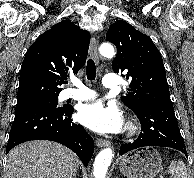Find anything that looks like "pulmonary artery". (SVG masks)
<instances>
[{
	"mask_svg": "<svg viewBox=\"0 0 194 178\" xmlns=\"http://www.w3.org/2000/svg\"><path fill=\"white\" fill-rule=\"evenodd\" d=\"M102 84L105 88H117L119 86V82L115 74L105 75L102 79ZM75 85L77 86V89L67 90L65 92V98L78 100V101H87V100H92L96 97L97 95L96 92L87 88L82 83L76 82Z\"/></svg>",
	"mask_w": 194,
	"mask_h": 178,
	"instance_id": "pulmonary-artery-1",
	"label": "pulmonary artery"
}]
</instances>
